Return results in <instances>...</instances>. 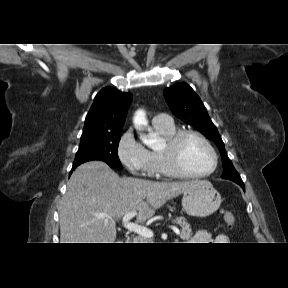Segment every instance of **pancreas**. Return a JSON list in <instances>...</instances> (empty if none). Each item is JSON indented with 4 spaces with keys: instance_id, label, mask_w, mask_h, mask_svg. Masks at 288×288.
I'll list each match as a JSON object with an SVG mask.
<instances>
[{
    "instance_id": "cf45deb5",
    "label": "pancreas",
    "mask_w": 288,
    "mask_h": 288,
    "mask_svg": "<svg viewBox=\"0 0 288 288\" xmlns=\"http://www.w3.org/2000/svg\"><path fill=\"white\" fill-rule=\"evenodd\" d=\"M174 222L181 227L180 238L182 240H189L192 236V230L190 228V225L186 222L185 218L179 217L175 219ZM135 240H136V243H148L149 239L146 237L139 236Z\"/></svg>"
}]
</instances>
